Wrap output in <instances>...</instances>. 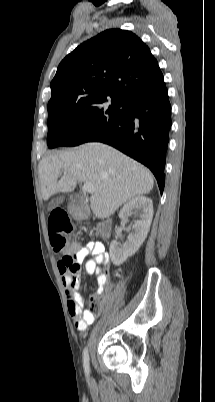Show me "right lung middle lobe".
I'll use <instances>...</instances> for the list:
<instances>
[{
  "label": "right lung middle lobe",
  "mask_w": 215,
  "mask_h": 402,
  "mask_svg": "<svg viewBox=\"0 0 215 402\" xmlns=\"http://www.w3.org/2000/svg\"><path fill=\"white\" fill-rule=\"evenodd\" d=\"M127 99L103 94L59 97L48 103L49 148L77 146L114 123L125 111Z\"/></svg>",
  "instance_id": "1"
}]
</instances>
